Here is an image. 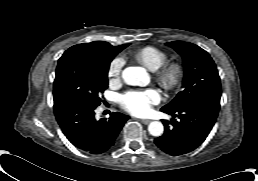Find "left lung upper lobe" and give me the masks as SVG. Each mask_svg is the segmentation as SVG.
<instances>
[{"label": "left lung upper lobe", "instance_id": "5c2ea615", "mask_svg": "<svg viewBox=\"0 0 258 181\" xmlns=\"http://www.w3.org/2000/svg\"><path fill=\"white\" fill-rule=\"evenodd\" d=\"M166 44L183 57L184 90L162 109L175 111L202 101L220 102V77L210 55L192 43L173 41Z\"/></svg>", "mask_w": 258, "mask_h": 181}]
</instances>
